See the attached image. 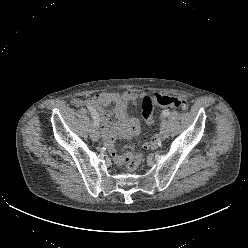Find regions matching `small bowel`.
<instances>
[{
	"instance_id": "obj_1",
	"label": "small bowel",
	"mask_w": 248,
	"mask_h": 248,
	"mask_svg": "<svg viewBox=\"0 0 248 248\" xmlns=\"http://www.w3.org/2000/svg\"><path fill=\"white\" fill-rule=\"evenodd\" d=\"M139 95L132 91L102 92L84 101H74V105L85 104L96 109L101 118L102 136L110 155L117 164L124 162L128 154L119 155L116 152L114 142L117 137H130L139 133L138 120L128 114V104L135 103ZM114 104L113 110H106L109 105ZM157 140H153L156 144Z\"/></svg>"
}]
</instances>
